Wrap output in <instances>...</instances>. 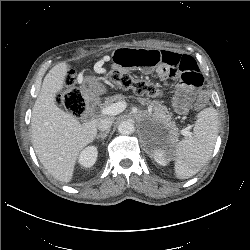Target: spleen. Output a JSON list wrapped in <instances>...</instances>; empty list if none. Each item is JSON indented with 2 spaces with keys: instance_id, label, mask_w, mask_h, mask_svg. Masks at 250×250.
<instances>
[{
  "instance_id": "3e777b00",
  "label": "spleen",
  "mask_w": 250,
  "mask_h": 250,
  "mask_svg": "<svg viewBox=\"0 0 250 250\" xmlns=\"http://www.w3.org/2000/svg\"><path fill=\"white\" fill-rule=\"evenodd\" d=\"M218 134V113L209 107L197 115L193 135L180 141L174 154L175 174L187 179L199 172L210 158Z\"/></svg>"
}]
</instances>
